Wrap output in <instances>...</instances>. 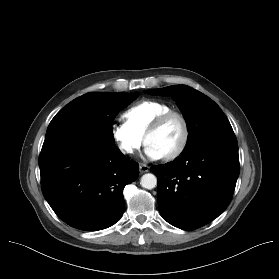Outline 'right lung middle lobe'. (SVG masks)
I'll return each instance as SVG.
<instances>
[{
  "instance_id": "dd1d6c3e",
  "label": "right lung middle lobe",
  "mask_w": 279,
  "mask_h": 279,
  "mask_svg": "<svg viewBox=\"0 0 279 279\" xmlns=\"http://www.w3.org/2000/svg\"><path fill=\"white\" fill-rule=\"evenodd\" d=\"M138 95V92H91L80 96L55 115L45 140L63 134H80L102 145L113 146V121Z\"/></svg>"
}]
</instances>
